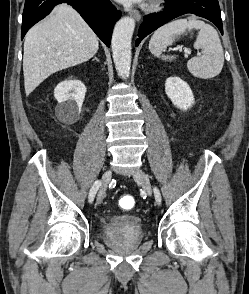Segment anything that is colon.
Listing matches in <instances>:
<instances>
[{"mask_svg": "<svg viewBox=\"0 0 249 294\" xmlns=\"http://www.w3.org/2000/svg\"><path fill=\"white\" fill-rule=\"evenodd\" d=\"M120 206L124 209H131L135 206V199L131 196H122L120 198Z\"/></svg>", "mask_w": 249, "mask_h": 294, "instance_id": "colon-1", "label": "colon"}]
</instances>
